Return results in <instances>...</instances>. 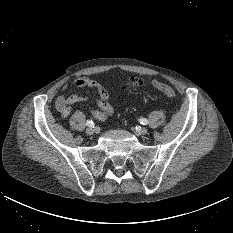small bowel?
Segmentation results:
<instances>
[{
    "label": "small bowel",
    "instance_id": "1",
    "mask_svg": "<svg viewBox=\"0 0 233 233\" xmlns=\"http://www.w3.org/2000/svg\"><path fill=\"white\" fill-rule=\"evenodd\" d=\"M73 84L76 88H88L98 94L99 98L95 101L96 108L91 110V115L95 119L105 120L112 115L113 107L109 101L110 93L105 87L86 76L78 77ZM65 88L66 85L63 89ZM83 101H85V98L77 94L60 95L55 101V107L63 118H67L72 111V107Z\"/></svg>",
    "mask_w": 233,
    "mask_h": 233
}]
</instances>
